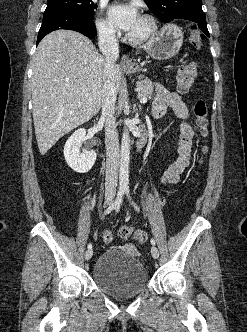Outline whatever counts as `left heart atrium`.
<instances>
[{"label":"left heart atrium","instance_id":"obj_1","mask_svg":"<svg viewBox=\"0 0 247 332\" xmlns=\"http://www.w3.org/2000/svg\"><path fill=\"white\" fill-rule=\"evenodd\" d=\"M108 15L115 27L127 33L131 32L139 20L137 8L132 4L112 5Z\"/></svg>","mask_w":247,"mask_h":332}]
</instances>
